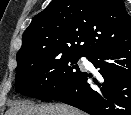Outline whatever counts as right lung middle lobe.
Returning a JSON list of instances; mask_svg holds the SVG:
<instances>
[{
	"label": "right lung middle lobe",
	"mask_w": 131,
	"mask_h": 115,
	"mask_svg": "<svg viewBox=\"0 0 131 115\" xmlns=\"http://www.w3.org/2000/svg\"><path fill=\"white\" fill-rule=\"evenodd\" d=\"M80 58L57 53L17 69L16 92L42 101L56 100L83 72L77 65Z\"/></svg>",
	"instance_id": "dd1d6c3e"
}]
</instances>
